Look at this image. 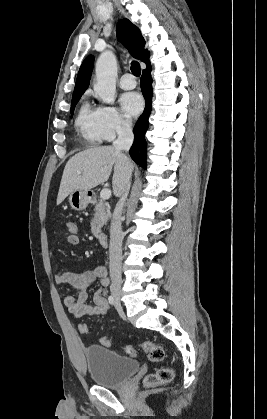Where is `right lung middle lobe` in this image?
Returning <instances> with one entry per match:
<instances>
[{
	"label": "right lung middle lobe",
	"instance_id": "obj_1",
	"mask_svg": "<svg viewBox=\"0 0 267 419\" xmlns=\"http://www.w3.org/2000/svg\"><path fill=\"white\" fill-rule=\"evenodd\" d=\"M80 97H81V95H80V96H75V97H72V103H71V114H72V115H73V112H74L75 106H76V104L78 103V101H79Z\"/></svg>",
	"mask_w": 267,
	"mask_h": 419
}]
</instances>
